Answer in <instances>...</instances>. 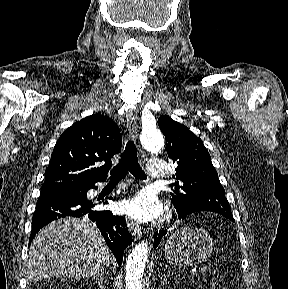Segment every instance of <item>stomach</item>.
<instances>
[{"label": "stomach", "instance_id": "1", "mask_svg": "<svg viewBox=\"0 0 288 289\" xmlns=\"http://www.w3.org/2000/svg\"><path fill=\"white\" fill-rule=\"evenodd\" d=\"M213 250L210 234L198 227L185 226L173 232L165 242L164 257L174 265H194L203 262Z\"/></svg>", "mask_w": 288, "mask_h": 289}]
</instances>
